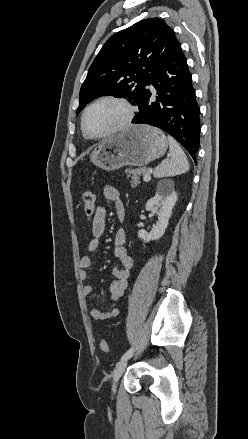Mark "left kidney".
I'll return each instance as SVG.
<instances>
[{
	"label": "left kidney",
	"mask_w": 248,
	"mask_h": 439,
	"mask_svg": "<svg viewBox=\"0 0 248 439\" xmlns=\"http://www.w3.org/2000/svg\"><path fill=\"white\" fill-rule=\"evenodd\" d=\"M177 201V193L172 186H164L163 182L157 185V191L154 197L150 198L145 209L158 215V221L153 226L150 233L145 230H139L138 237L147 243L161 238L169 224L172 210Z\"/></svg>",
	"instance_id": "left-kidney-1"
}]
</instances>
